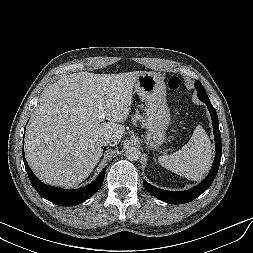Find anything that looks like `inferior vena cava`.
I'll return each instance as SVG.
<instances>
[{
	"mask_svg": "<svg viewBox=\"0 0 253 253\" xmlns=\"http://www.w3.org/2000/svg\"><path fill=\"white\" fill-rule=\"evenodd\" d=\"M102 145H113V139L109 138V137H105L102 141H101Z\"/></svg>",
	"mask_w": 253,
	"mask_h": 253,
	"instance_id": "1",
	"label": "inferior vena cava"
}]
</instances>
